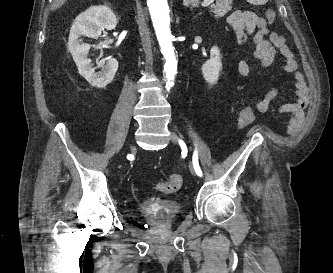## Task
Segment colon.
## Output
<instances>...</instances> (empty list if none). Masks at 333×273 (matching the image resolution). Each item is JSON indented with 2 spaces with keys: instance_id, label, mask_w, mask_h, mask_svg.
I'll return each instance as SVG.
<instances>
[{
  "instance_id": "obj_1",
  "label": "colon",
  "mask_w": 333,
  "mask_h": 273,
  "mask_svg": "<svg viewBox=\"0 0 333 273\" xmlns=\"http://www.w3.org/2000/svg\"><path fill=\"white\" fill-rule=\"evenodd\" d=\"M266 19L269 22L275 20V11L269 9L265 12ZM255 119V112L252 107H244L239 114V124L240 126H247L251 124ZM182 177L179 174H171L169 178L165 181L158 183L157 188L160 192L171 194L179 190L182 186Z\"/></svg>"
}]
</instances>
